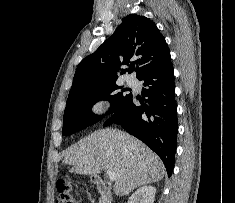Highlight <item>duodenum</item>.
I'll list each match as a JSON object with an SVG mask.
<instances>
[{
	"instance_id": "duodenum-1",
	"label": "duodenum",
	"mask_w": 235,
	"mask_h": 203,
	"mask_svg": "<svg viewBox=\"0 0 235 203\" xmlns=\"http://www.w3.org/2000/svg\"><path fill=\"white\" fill-rule=\"evenodd\" d=\"M93 184L98 193L101 195L104 203H113L111 189L101 177H93Z\"/></svg>"
}]
</instances>
